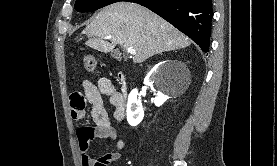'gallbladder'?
Instances as JSON below:
<instances>
[{"instance_id":"1","label":"gallbladder","mask_w":277,"mask_h":166,"mask_svg":"<svg viewBox=\"0 0 277 166\" xmlns=\"http://www.w3.org/2000/svg\"><path fill=\"white\" fill-rule=\"evenodd\" d=\"M111 56L115 59H120V53L118 51H113Z\"/></svg>"}]
</instances>
